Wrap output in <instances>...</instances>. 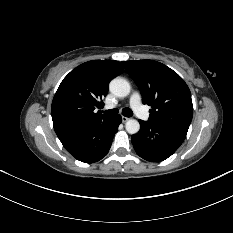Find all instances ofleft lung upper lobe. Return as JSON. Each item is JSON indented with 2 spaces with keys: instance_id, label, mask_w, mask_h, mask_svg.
Masks as SVG:
<instances>
[{
  "instance_id": "1",
  "label": "left lung upper lobe",
  "mask_w": 233,
  "mask_h": 233,
  "mask_svg": "<svg viewBox=\"0 0 233 233\" xmlns=\"http://www.w3.org/2000/svg\"><path fill=\"white\" fill-rule=\"evenodd\" d=\"M122 64L139 87L143 103L152 106L149 121L187 133L193 105L184 80L154 60L125 61Z\"/></svg>"
}]
</instances>
